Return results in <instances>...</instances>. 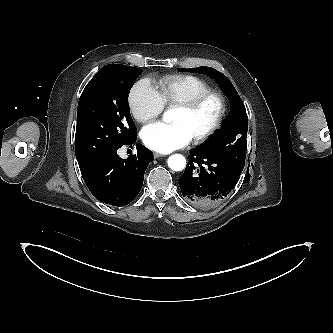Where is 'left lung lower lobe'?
<instances>
[{
  "label": "left lung lower lobe",
  "mask_w": 333,
  "mask_h": 333,
  "mask_svg": "<svg viewBox=\"0 0 333 333\" xmlns=\"http://www.w3.org/2000/svg\"><path fill=\"white\" fill-rule=\"evenodd\" d=\"M190 153L185 171L178 179L182 195L191 204L214 207L233 190L242 171L201 148Z\"/></svg>",
  "instance_id": "0a47b994"
}]
</instances>
